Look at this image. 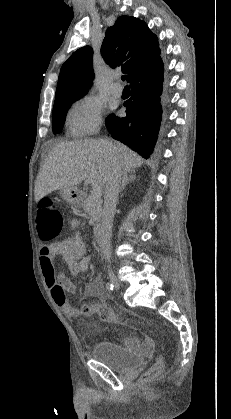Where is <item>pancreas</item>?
I'll use <instances>...</instances> for the list:
<instances>
[{
    "label": "pancreas",
    "instance_id": "1",
    "mask_svg": "<svg viewBox=\"0 0 231 419\" xmlns=\"http://www.w3.org/2000/svg\"><path fill=\"white\" fill-rule=\"evenodd\" d=\"M101 205H102L101 198H95L92 195L86 196L84 200L82 201L81 206L89 214L90 216L89 224L92 226L97 224L101 218V214H102Z\"/></svg>",
    "mask_w": 231,
    "mask_h": 419
}]
</instances>
